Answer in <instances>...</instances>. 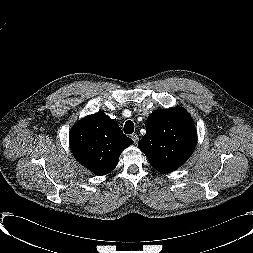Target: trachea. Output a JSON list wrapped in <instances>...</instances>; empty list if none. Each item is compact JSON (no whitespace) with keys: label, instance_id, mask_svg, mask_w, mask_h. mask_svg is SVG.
Listing matches in <instances>:
<instances>
[{"label":"trachea","instance_id":"3493384b","mask_svg":"<svg viewBox=\"0 0 253 253\" xmlns=\"http://www.w3.org/2000/svg\"><path fill=\"white\" fill-rule=\"evenodd\" d=\"M134 123L131 120H128L124 125V133L132 134L134 132Z\"/></svg>","mask_w":253,"mask_h":253}]
</instances>
